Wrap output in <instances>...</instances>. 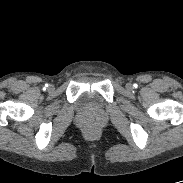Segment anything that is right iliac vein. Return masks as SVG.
I'll list each match as a JSON object with an SVG mask.
<instances>
[{
	"label": "right iliac vein",
	"instance_id": "1",
	"mask_svg": "<svg viewBox=\"0 0 183 183\" xmlns=\"http://www.w3.org/2000/svg\"><path fill=\"white\" fill-rule=\"evenodd\" d=\"M48 89H49V90H53V89H54L53 85H50V86L48 87Z\"/></svg>",
	"mask_w": 183,
	"mask_h": 183
}]
</instances>
